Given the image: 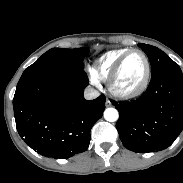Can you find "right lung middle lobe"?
<instances>
[{
  "label": "right lung middle lobe",
  "instance_id": "1",
  "mask_svg": "<svg viewBox=\"0 0 183 183\" xmlns=\"http://www.w3.org/2000/svg\"><path fill=\"white\" fill-rule=\"evenodd\" d=\"M88 53L89 50L87 48H52L44 53L34 64L26 68L22 75L45 73L65 68H84L83 60Z\"/></svg>",
  "mask_w": 183,
  "mask_h": 183
}]
</instances>
